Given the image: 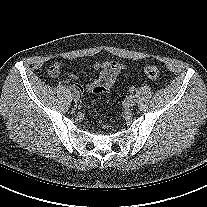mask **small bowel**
<instances>
[{
    "instance_id": "c3829d8e",
    "label": "small bowel",
    "mask_w": 207,
    "mask_h": 207,
    "mask_svg": "<svg viewBox=\"0 0 207 207\" xmlns=\"http://www.w3.org/2000/svg\"><path fill=\"white\" fill-rule=\"evenodd\" d=\"M93 68L99 71V77L93 82L88 83L85 87L76 82H69L70 87H74L78 91L85 90L89 93L100 95L110 92L114 86L119 74L126 68L125 64L119 63L117 61H104L95 62ZM62 72V64L56 62L49 69V75L53 78L58 77ZM68 76L72 80L77 79V75L73 72H69Z\"/></svg>"
}]
</instances>
